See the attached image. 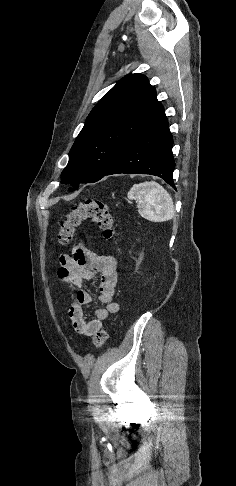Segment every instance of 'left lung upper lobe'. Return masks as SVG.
<instances>
[{"label": "left lung upper lobe", "mask_w": 236, "mask_h": 486, "mask_svg": "<svg viewBox=\"0 0 236 486\" xmlns=\"http://www.w3.org/2000/svg\"><path fill=\"white\" fill-rule=\"evenodd\" d=\"M163 113L147 77L126 75L87 117L69 152L62 183L71 184L74 191L81 183L103 178L132 141Z\"/></svg>", "instance_id": "5c2ea615"}]
</instances>
